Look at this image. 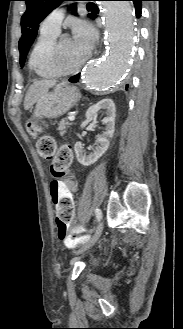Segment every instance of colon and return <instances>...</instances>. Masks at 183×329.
Segmentation results:
<instances>
[{"label": "colon", "instance_id": "obj_1", "mask_svg": "<svg viewBox=\"0 0 183 329\" xmlns=\"http://www.w3.org/2000/svg\"><path fill=\"white\" fill-rule=\"evenodd\" d=\"M37 151L42 158L52 159L50 170L54 178H61L72 162V151L63 145L57 150L56 141L51 135H43L37 141ZM73 218H56L58 237L65 241L69 237L68 227Z\"/></svg>", "mask_w": 183, "mask_h": 329}]
</instances>
